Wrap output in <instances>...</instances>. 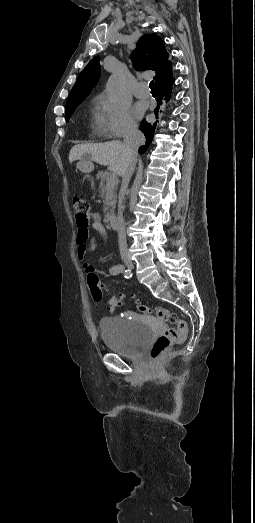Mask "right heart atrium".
<instances>
[{
    "label": "right heart atrium",
    "instance_id": "right-heart-atrium-1",
    "mask_svg": "<svg viewBox=\"0 0 255 523\" xmlns=\"http://www.w3.org/2000/svg\"><path fill=\"white\" fill-rule=\"evenodd\" d=\"M99 100L107 117L110 135L122 138L136 132L137 124L128 103L119 99H112L106 94H101Z\"/></svg>",
    "mask_w": 255,
    "mask_h": 523
}]
</instances>
